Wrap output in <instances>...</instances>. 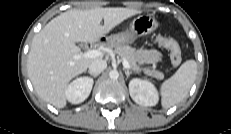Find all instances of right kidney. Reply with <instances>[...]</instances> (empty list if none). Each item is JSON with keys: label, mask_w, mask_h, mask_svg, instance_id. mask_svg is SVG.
I'll list each match as a JSON object with an SVG mask.
<instances>
[{"label": "right kidney", "mask_w": 231, "mask_h": 134, "mask_svg": "<svg viewBox=\"0 0 231 134\" xmlns=\"http://www.w3.org/2000/svg\"><path fill=\"white\" fill-rule=\"evenodd\" d=\"M93 87V80L88 77H80L71 82L66 90L67 100L72 104H79L88 98Z\"/></svg>", "instance_id": "1"}]
</instances>
